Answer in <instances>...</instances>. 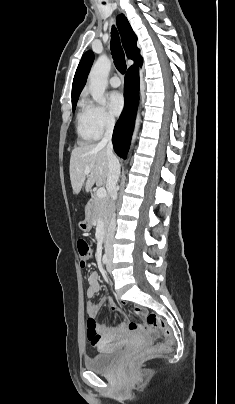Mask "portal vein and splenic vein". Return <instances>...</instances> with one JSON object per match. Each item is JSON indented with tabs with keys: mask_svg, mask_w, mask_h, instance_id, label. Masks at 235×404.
<instances>
[{
	"mask_svg": "<svg viewBox=\"0 0 235 404\" xmlns=\"http://www.w3.org/2000/svg\"><path fill=\"white\" fill-rule=\"evenodd\" d=\"M84 172H85V174H89V173L91 172V169H90V168H86ZM106 195H107V193H106V190H105L104 188H99V189L97 190V192H96V196H97L98 198H105Z\"/></svg>",
	"mask_w": 235,
	"mask_h": 404,
	"instance_id": "1",
	"label": "portal vein and splenic vein"
}]
</instances>
